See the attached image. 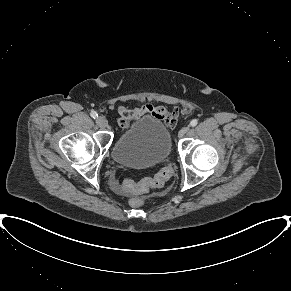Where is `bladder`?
<instances>
[{
	"mask_svg": "<svg viewBox=\"0 0 291 291\" xmlns=\"http://www.w3.org/2000/svg\"><path fill=\"white\" fill-rule=\"evenodd\" d=\"M171 152L168 129L160 120L144 116L120 134L112 146L111 157L120 166L143 169L164 162Z\"/></svg>",
	"mask_w": 291,
	"mask_h": 291,
	"instance_id": "1",
	"label": "bladder"
}]
</instances>
